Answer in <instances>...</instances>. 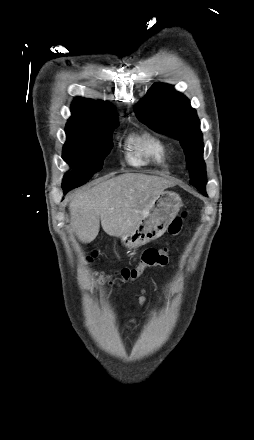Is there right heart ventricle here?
I'll use <instances>...</instances> for the list:
<instances>
[{"label": "right heart ventricle", "mask_w": 254, "mask_h": 440, "mask_svg": "<svg viewBox=\"0 0 254 440\" xmlns=\"http://www.w3.org/2000/svg\"><path fill=\"white\" fill-rule=\"evenodd\" d=\"M127 146L129 150L127 159L131 165L139 166L149 163L164 165L170 157L167 143L148 131L131 135Z\"/></svg>", "instance_id": "1"}]
</instances>
